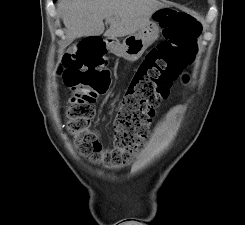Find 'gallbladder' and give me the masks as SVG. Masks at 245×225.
Returning <instances> with one entry per match:
<instances>
[{
  "mask_svg": "<svg viewBox=\"0 0 245 225\" xmlns=\"http://www.w3.org/2000/svg\"><path fill=\"white\" fill-rule=\"evenodd\" d=\"M69 50H70L71 53H74L76 51V47L72 46V47H70Z\"/></svg>",
  "mask_w": 245,
  "mask_h": 225,
  "instance_id": "bac80fb5",
  "label": "gallbladder"
}]
</instances>
